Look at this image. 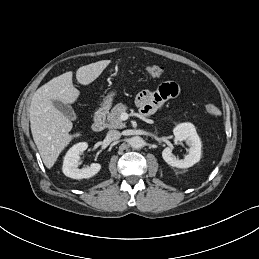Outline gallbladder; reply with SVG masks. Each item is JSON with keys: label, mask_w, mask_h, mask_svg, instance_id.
Wrapping results in <instances>:
<instances>
[{"label": "gallbladder", "mask_w": 259, "mask_h": 259, "mask_svg": "<svg viewBox=\"0 0 259 259\" xmlns=\"http://www.w3.org/2000/svg\"><path fill=\"white\" fill-rule=\"evenodd\" d=\"M53 105L67 118L70 120L76 121L77 116L76 113L74 112L73 108L65 103H62L60 101H53Z\"/></svg>", "instance_id": "1"}]
</instances>
